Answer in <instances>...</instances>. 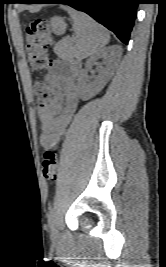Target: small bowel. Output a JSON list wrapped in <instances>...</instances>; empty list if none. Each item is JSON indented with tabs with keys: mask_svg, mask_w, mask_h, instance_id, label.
<instances>
[{
	"mask_svg": "<svg viewBox=\"0 0 166 267\" xmlns=\"http://www.w3.org/2000/svg\"><path fill=\"white\" fill-rule=\"evenodd\" d=\"M78 72L75 65L60 60L53 63L49 79L54 82L58 94L50 104L38 109L40 144L43 148H48L59 140L76 111L79 97L75 78Z\"/></svg>",
	"mask_w": 166,
	"mask_h": 267,
	"instance_id": "obj_1",
	"label": "small bowel"
}]
</instances>
